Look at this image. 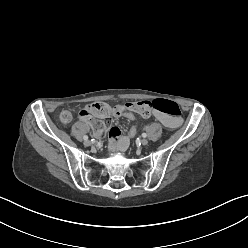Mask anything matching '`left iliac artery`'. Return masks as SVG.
<instances>
[{"label":"left iliac artery","instance_id":"obj_1","mask_svg":"<svg viewBox=\"0 0 248 248\" xmlns=\"http://www.w3.org/2000/svg\"><path fill=\"white\" fill-rule=\"evenodd\" d=\"M142 137H147V134L146 133H142Z\"/></svg>","mask_w":248,"mask_h":248}]
</instances>
